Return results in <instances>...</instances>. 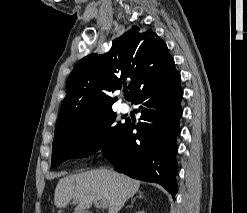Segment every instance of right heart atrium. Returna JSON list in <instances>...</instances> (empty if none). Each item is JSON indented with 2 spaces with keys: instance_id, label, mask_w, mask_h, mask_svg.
Masks as SVG:
<instances>
[{
  "instance_id": "obj_1",
  "label": "right heart atrium",
  "mask_w": 247,
  "mask_h": 213,
  "mask_svg": "<svg viewBox=\"0 0 247 213\" xmlns=\"http://www.w3.org/2000/svg\"><path fill=\"white\" fill-rule=\"evenodd\" d=\"M99 135L98 134H96V135H94V136H92L91 138H90V141H97L98 139H99Z\"/></svg>"
}]
</instances>
